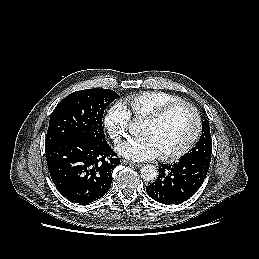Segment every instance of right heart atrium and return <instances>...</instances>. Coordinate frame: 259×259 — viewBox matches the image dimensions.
I'll use <instances>...</instances> for the list:
<instances>
[{
    "instance_id": "1",
    "label": "right heart atrium",
    "mask_w": 259,
    "mask_h": 259,
    "mask_svg": "<svg viewBox=\"0 0 259 259\" xmlns=\"http://www.w3.org/2000/svg\"><path fill=\"white\" fill-rule=\"evenodd\" d=\"M131 115L122 102L113 103L106 111L103 124L110 137L119 141L126 136Z\"/></svg>"
}]
</instances>
